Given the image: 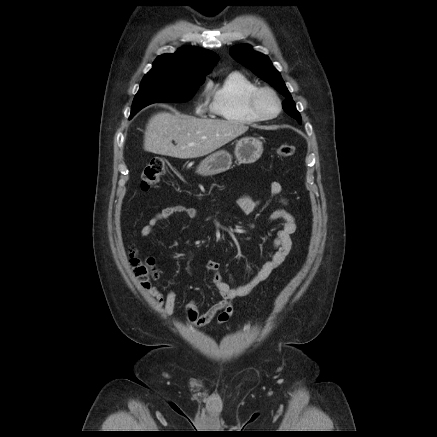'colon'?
Returning <instances> with one entry per match:
<instances>
[{
	"label": "colon",
	"mask_w": 437,
	"mask_h": 437,
	"mask_svg": "<svg viewBox=\"0 0 437 437\" xmlns=\"http://www.w3.org/2000/svg\"><path fill=\"white\" fill-rule=\"evenodd\" d=\"M277 153L280 157L286 158L293 156L295 153V147L288 144L280 145L277 148ZM166 170V162L161 157H154L145 166L142 179L141 188L147 191L157 185L160 178L164 175ZM131 263L133 265V271L138 278L141 286L145 289H150L152 280L157 278V271L154 266L153 259L149 258L141 260L137 256V252L134 249L130 250Z\"/></svg>",
	"instance_id": "colon-1"
}]
</instances>
